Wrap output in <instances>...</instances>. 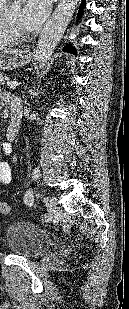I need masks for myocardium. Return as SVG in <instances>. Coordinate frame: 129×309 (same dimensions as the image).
I'll return each instance as SVG.
<instances>
[{
    "label": "myocardium",
    "mask_w": 129,
    "mask_h": 309,
    "mask_svg": "<svg viewBox=\"0 0 129 309\" xmlns=\"http://www.w3.org/2000/svg\"><path fill=\"white\" fill-rule=\"evenodd\" d=\"M1 21H2L3 32L7 36L14 37L16 33L20 32V30L14 27L12 21L8 18L7 14L3 11L1 14Z\"/></svg>",
    "instance_id": "f54148a6"
}]
</instances>
